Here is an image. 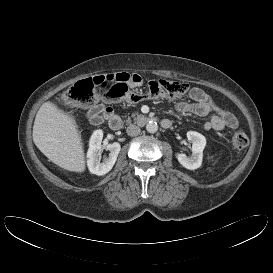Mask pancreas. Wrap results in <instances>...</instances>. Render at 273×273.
<instances>
[{
	"label": "pancreas",
	"mask_w": 273,
	"mask_h": 273,
	"mask_svg": "<svg viewBox=\"0 0 273 273\" xmlns=\"http://www.w3.org/2000/svg\"><path fill=\"white\" fill-rule=\"evenodd\" d=\"M132 117L136 119V118H140L141 115H139L138 113H134V114H132Z\"/></svg>",
	"instance_id": "cf45deb5"
}]
</instances>
